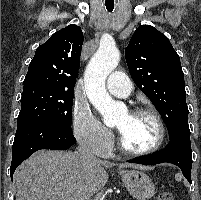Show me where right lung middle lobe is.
Instances as JSON below:
<instances>
[{
  "mask_svg": "<svg viewBox=\"0 0 201 200\" xmlns=\"http://www.w3.org/2000/svg\"><path fill=\"white\" fill-rule=\"evenodd\" d=\"M73 93L36 90L23 92L17 125L34 120H45L72 131L71 113Z\"/></svg>",
  "mask_w": 201,
  "mask_h": 200,
  "instance_id": "obj_1",
  "label": "right lung middle lobe"
}]
</instances>
